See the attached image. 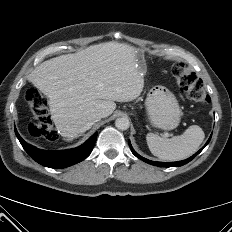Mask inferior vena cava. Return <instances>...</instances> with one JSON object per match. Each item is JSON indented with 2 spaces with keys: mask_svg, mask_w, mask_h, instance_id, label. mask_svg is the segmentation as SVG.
I'll return each instance as SVG.
<instances>
[{
  "mask_svg": "<svg viewBox=\"0 0 232 232\" xmlns=\"http://www.w3.org/2000/svg\"><path fill=\"white\" fill-rule=\"evenodd\" d=\"M102 118V115L101 114H91L89 117H88V122L87 124L84 126L83 130L82 131H86L88 129L91 128V126L99 121L100 119Z\"/></svg>",
  "mask_w": 232,
  "mask_h": 232,
  "instance_id": "obj_1",
  "label": "inferior vena cava"
}]
</instances>
